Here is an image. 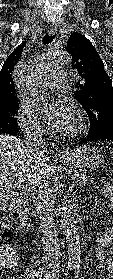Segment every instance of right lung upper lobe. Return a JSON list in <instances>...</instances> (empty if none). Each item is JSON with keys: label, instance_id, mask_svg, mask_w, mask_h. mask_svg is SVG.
I'll return each mask as SVG.
<instances>
[{"label": "right lung upper lobe", "instance_id": "right-lung-upper-lobe-1", "mask_svg": "<svg viewBox=\"0 0 113 279\" xmlns=\"http://www.w3.org/2000/svg\"><path fill=\"white\" fill-rule=\"evenodd\" d=\"M25 43L19 45L8 56L0 72V109L18 103L12 78L14 66L19 61Z\"/></svg>", "mask_w": 113, "mask_h": 279}]
</instances>
